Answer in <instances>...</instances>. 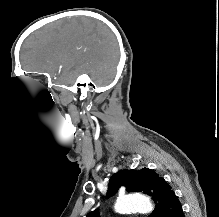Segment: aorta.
<instances>
[{
    "label": "aorta",
    "instance_id": "obj_1",
    "mask_svg": "<svg viewBox=\"0 0 219 217\" xmlns=\"http://www.w3.org/2000/svg\"><path fill=\"white\" fill-rule=\"evenodd\" d=\"M116 212H149L153 205L149 197L144 195H124L117 199L115 206Z\"/></svg>",
    "mask_w": 219,
    "mask_h": 217
}]
</instances>
